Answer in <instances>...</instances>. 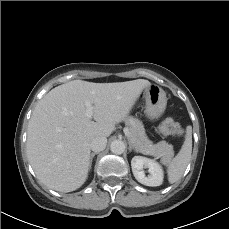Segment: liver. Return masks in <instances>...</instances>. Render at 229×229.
Here are the masks:
<instances>
[{
    "label": "liver",
    "mask_w": 229,
    "mask_h": 229,
    "mask_svg": "<svg viewBox=\"0 0 229 229\" xmlns=\"http://www.w3.org/2000/svg\"><path fill=\"white\" fill-rule=\"evenodd\" d=\"M150 84L145 79L74 80L49 91L36 105L27 131V155L37 178L60 192L80 188L89 172L92 139L109 137ZM86 101L94 108L95 121L85 117Z\"/></svg>",
    "instance_id": "obj_1"
}]
</instances>
